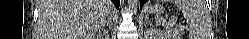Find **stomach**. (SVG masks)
<instances>
[{
    "label": "stomach",
    "instance_id": "1",
    "mask_svg": "<svg viewBox=\"0 0 249 39\" xmlns=\"http://www.w3.org/2000/svg\"><path fill=\"white\" fill-rule=\"evenodd\" d=\"M154 13L160 14L163 11V8L161 5L157 4L153 9H151Z\"/></svg>",
    "mask_w": 249,
    "mask_h": 39
}]
</instances>
